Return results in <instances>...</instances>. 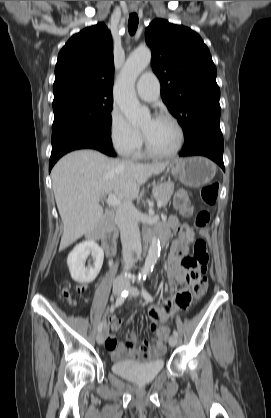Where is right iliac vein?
Instances as JSON below:
<instances>
[{
  "instance_id": "obj_1",
  "label": "right iliac vein",
  "mask_w": 271,
  "mask_h": 418,
  "mask_svg": "<svg viewBox=\"0 0 271 418\" xmlns=\"http://www.w3.org/2000/svg\"><path fill=\"white\" fill-rule=\"evenodd\" d=\"M124 290V287L121 285H114L113 286V295L119 296ZM96 341L99 345L103 344L104 342V334L103 332H98L96 336Z\"/></svg>"
}]
</instances>
